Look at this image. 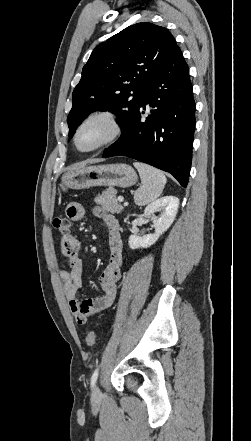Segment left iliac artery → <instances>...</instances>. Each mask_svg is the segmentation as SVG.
I'll use <instances>...</instances> for the list:
<instances>
[{
  "label": "left iliac artery",
  "instance_id": "obj_1",
  "mask_svg": "<svg viewBox=\"0 0 251 441\" xmlns=\"http://www.w3.org/2000/svg\"><path fill=\"white\" fill-rule=\"evenodd\" d=\"M98 373H99V368H96L91 376V387H93L95 385L97 378H98Z\"/></svg>",
  "mask_w": 251,
  "mask_h": 441
}]
</instances>
